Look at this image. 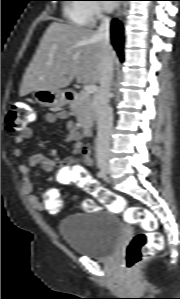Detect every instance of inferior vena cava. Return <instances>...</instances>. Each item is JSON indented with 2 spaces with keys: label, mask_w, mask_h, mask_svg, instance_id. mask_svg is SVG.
Returning a JSON list of instances; mask_svg holds the SVG:
<instances>
[{
  "label": "inferior vena cava",
  "mask_w": 180,
  "mask_h": 299,
  "mask_svg": "<svg viewBox=\"0 0 180 299\" xmlns=\"http://www.w3.org/2000/svg\"><path fill=\"white\" fill-rule=\"evenodd\" d=\"M98 37L103 42L101 55V73L99 88L94 97V111L97 116L98 134L96 156L106 158L110 153V140L113 126L112 109L109 106L110 85L113 79V61L109 54L110 46V18L101 16V24L97 30Z\"/></svg>",
  "instance_id": "inferior-vena-cava-1"
}]
</instances>
